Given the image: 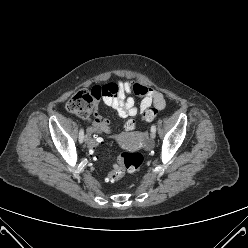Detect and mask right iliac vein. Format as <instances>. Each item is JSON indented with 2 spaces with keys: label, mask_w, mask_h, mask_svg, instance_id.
Segmentation results:
<instances>
[{
  "label": "right iliac vein",
  "mask_w": 248,
  "mask_h": 248,
  "mask_svg": "<svg viewBox=\"0 0 248 248\" xmlns=\"http://www.w3.org/2000/svg\"><path fill=\"white\" fill-rule=\"evenodd\" d=\"M84 141H85L86 144L89 143V137H88V135H85Z\"/></svg>",
  "instance_id": "obj_1"
}]
</instances>
